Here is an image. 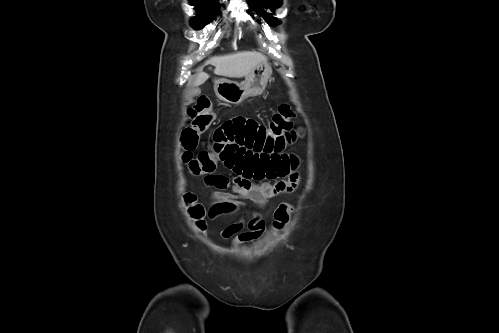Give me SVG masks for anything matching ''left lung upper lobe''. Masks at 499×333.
<instances>
[{
  "instance_id": "1",
  "label": "left lung upper lobe",
  "mask_w": 499,
  "mask_h": 333,
  "mask_svg": "<svg viewBox=\"0 0 499 333\" xmlns=\"http://www.w3.org/2000/svg\"><path fill=\"white\" fill-rule=\"evenodd\" d=\"M259 2V10L263 12L264 17H269V20L267 21L270 25L275 26L278 24V21L274 18H271V16L266 15V13L262 10L261 6L265 8H276L280 5L281 1L280 0H254L252 3H250L251 7L254 4H257Z\"/></svg>"
}]
</instances>
